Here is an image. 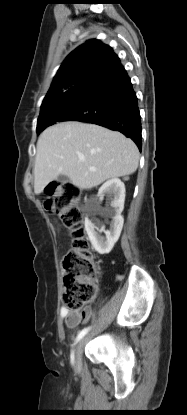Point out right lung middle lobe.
Masks as SVG:
<instances>
[{"mask_svg":"<svg viewBox=\"0 0 187 415\" xmlns=\"http://www.w3.org/2000/svg\"><path fill=\"white\" fill-rule=\"evenodd\" d=\"M76 86L72 87L70 90L64 93V95H69L71 92L75 90ZM63 100V98L57 100L53 105L42 109L40 115L38 117L37 121V134H39L41 131H43L47 126H50V116L55 111V109L58 107L60 102Z\"/></svg>","mask_w":187,"mask_h":415,"instance_id":"1","label":"right lung middle lobe"}]
</instances>
